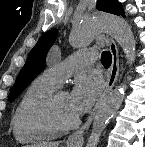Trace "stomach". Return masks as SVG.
Masks as SVG:
<instances>
[{"label": "stomach", "instance_id": "0dacf381", "mask_svg": "<svg viewBox=\"0 0 145 147\" xmlns=\"http://www.w3.org/2000/svg\"><path fill=\"white\" fill-rule=\"evenodd\" d=\"M76 145H68L67 147H75Z\"/></svg>", "mask_w": 145, "mask_h": 147}]
</instances>
